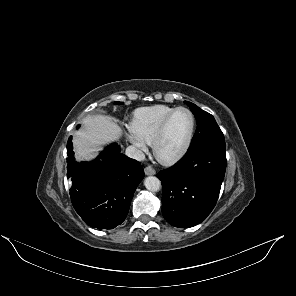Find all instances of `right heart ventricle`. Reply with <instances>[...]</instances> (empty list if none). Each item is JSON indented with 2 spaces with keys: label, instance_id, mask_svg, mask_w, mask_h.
<instances>
[{
  "label": "right heart ventricle",
  "instance_id": "e07e8e85",
  "mask_svg": "<svg viewBox=\"0 0 296 296\" xmlns=\"http://www.w3.org/2000/svg\"><path fill=\"white\" fill-rule=\"evenodd\" d=\"M174 109L166 105L137 109L131 121L132 132L144 143L151 145L160 125Z\"/></svg>",
  "mask_w": 296,
  "mask_h": 296
}]
</instances>
